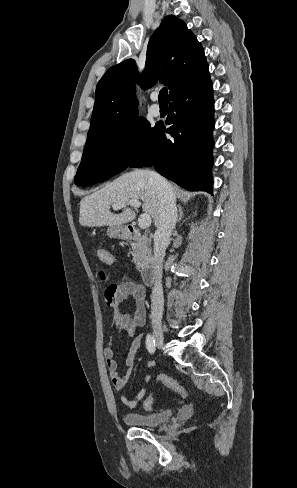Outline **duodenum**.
Masks as SVG:
<instances>
[{
  "mask_svg": "<svg viewBox=\"0 0 297 488\" xmlns=\"http://www.w3.org/2000/svg\"><path fill=\"white\" fill-rule=\"evenodd\" d=\"M137 234V230L134 227H129L125 231V237L128 239L133 238ZM158 263L153 257H148L140 270L142 280L145 284L150 285L152 284L158 274Z\"/></svg>",
  "mask_w": 297,
  "mask_h": 488,
  "instance_id": "410a0bca",
  "label": "duodenum"
}]
</instances>
